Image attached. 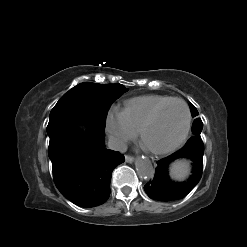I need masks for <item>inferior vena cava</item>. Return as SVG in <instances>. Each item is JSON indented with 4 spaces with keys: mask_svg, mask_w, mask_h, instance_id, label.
I'll return each instance as SVG.
<instances>
[{
    "mask_svg": "<svg viewBox=\"0 0 247 247\" xmlns=\"http://www.w3.org/2000/svg\"><path fill=\"white\" fill-rule=\"evenodd\" d=\"M108 148L114 151L124 153L127 151V144L119 138L110 137L108 140Z\"/></svg>",
    "mask_w": 247,
    "mask_h": 247,
    "instance_id": "1",
    "label": "inferior vena cava"
}]
</instances>
